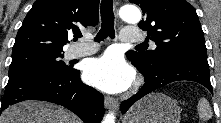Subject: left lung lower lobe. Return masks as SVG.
<instances>
[{
	"label": "left lung lower lobe",
	"mask_w": 221,
	"mask_h": 123,
	"mask_svg": "<svg viewBox=\"0 0 221 123\" xmlns=\"http://www.w3.org/2000/svg\"><path fill=\"white\" fill-rule=\"evenodd\" d=\"M132 63L144 75L145 84L137 94L122 102V113H125L146 94L174 81L189 80L198 82L213 93L208 62L193 58H182L151 68H145L136 62Z\"/></svg>",
	"instance_id": "0a47b994"
}]
</instances>
